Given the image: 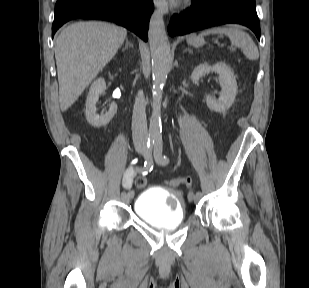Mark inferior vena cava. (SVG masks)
<instances>
[{"label":"inferior vena cava","instance_id":"602c4592","mask_svg":"<svg viewBox=\"0 0 309 288\" xmlns=\"http://www.w3.org/2000/svg\"><path fill=\"white\" fill-rule=\"evenodd\" d=\"M146 102L143 92L139 91L133 108L132 136L135 145H146L148 130L146 121Z\"/></svg>","mask_w":309,"mask_h":288}]
</instances>
